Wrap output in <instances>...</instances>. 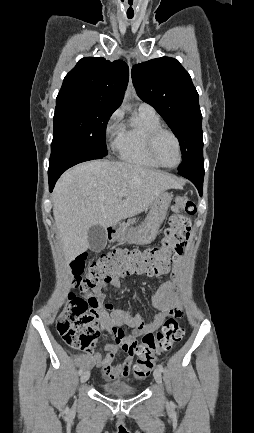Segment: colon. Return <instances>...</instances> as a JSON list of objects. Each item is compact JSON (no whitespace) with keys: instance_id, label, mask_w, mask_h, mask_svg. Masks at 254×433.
<instances>
[{"instance_id":"obj_1","label":"colon","mask_w":254,"mask_h":433,"mask_svg":"<svg viewBox=\"0 0 254 433\" xmlns=\"http://www.w3.org/2000/svg\"><path fill=\"white\" fill-rule=\"evenodd\" d=\"M174 210L178 214L170 218L159 246L144 251L114 250L102 254L89 264L85 276H82L85 257L80 255L72 262L74 286L90 295L87 299L71 295L58 316L56 329L66 345L87 353L93 352L100 332V301L93 292L116 277L136 273L156 274L185 252L190 234L189 217L196 212L195 204L186 195H179L175 198ZM181 316V311H177L165 320L160 330L142 337L141 344L134 348L138 356L133 369L134 378L141 379L150 374L157 357L170 352L181 341L184 335Z\"/></svg>"}]
</instances>
